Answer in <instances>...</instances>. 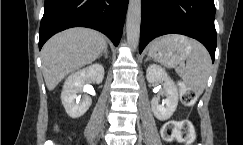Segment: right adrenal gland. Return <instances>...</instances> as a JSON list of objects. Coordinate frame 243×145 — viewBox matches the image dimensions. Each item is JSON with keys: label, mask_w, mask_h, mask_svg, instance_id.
Masks as SVG:
<instances>
[{"label": "right adrenal gland", "mask_w": 243, "mask_h": 145, "mask_svg": "<svg viewBox=\"0 0 243 145\" xmlns=\"http://www.w3.org/2000/svg\"><path fill=\"white\" fill-rule=\"evenodd\" d=\"M102 55H104L106 59L108 58V49H107V45H106L104 51L101 53V55H100L98 58H101Z\"/></svg>", "instance_id": "right-adrenal-gland-1"}]
</instances>
